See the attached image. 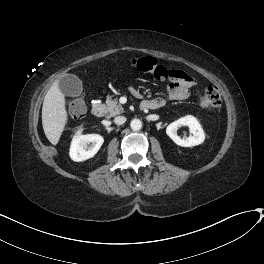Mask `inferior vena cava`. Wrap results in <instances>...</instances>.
<instances>
[{
  "instance_id": "602c4592",
  "label": "inferior vena cava",
  "mask_w": 264,
  "mask_h": 264,
  "mask_svg": "<svg viewBox=\"0 0 264 264\" xmlns=\"http://www.w3.org/2000/svg\"><path fill=\"white\" fill-rule=\"evenodd\" d=\"M125 122H126V118L124 116H118V117H115L114 119V123L117 125H122Z\"/></svg>"
}]
</instances>
